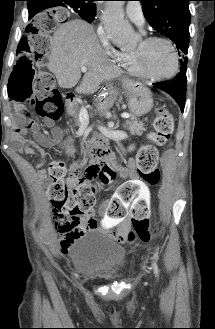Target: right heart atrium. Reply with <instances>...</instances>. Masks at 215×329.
Returning a JSON list of instances; mask_svg holds the SVG:
<instances>
[{
	"label": "right heart atrium",
	"mask_w": 215,
	"mask_h": 329,
	"mask_svg": "<svg viewBox=\"0 0 215 329\" xmlns=\"http://www.w3.org/2000/svg\"><path fill=\"white\" fill-rule=\"evenodd\" d=\"M97 35L101 41V44L102 46L104 47V49L108 52V54L114 58V59H117L119 58L120 56V52L115 49L111 42H110V39L109 37L107 36L104 28L102 26H99L98 29H97Z\"/></svg>",
	"instance_id": "d8ad5b80"
}]
</instances>
